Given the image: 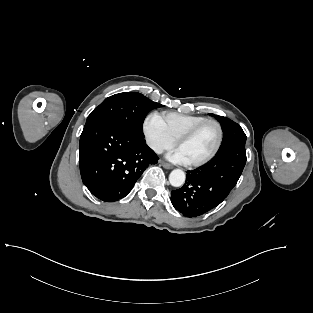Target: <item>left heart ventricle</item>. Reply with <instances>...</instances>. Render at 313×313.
Returning a JSON list of instances; mask_svg holds the SVG:
<instances>
[{
  "label": "left heart ventricle",
  "instance_id": "obj_1",
  "mask_svg": "<svg viewBox=\"0 0 313 313\" xmlns=\"http://www.w3.org/2000/svg\"><path fill=\"white\" fill-rule=\"evenodd\" d=\"M218 131L214 124H207L199 130L190 140L178 146L189 162L205 158L214 149Z\"/></svg>",
  "mask_w": 313,
  "mask_h": 313
}]
</instances>
